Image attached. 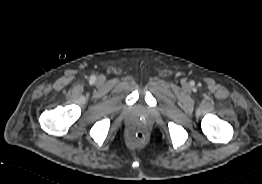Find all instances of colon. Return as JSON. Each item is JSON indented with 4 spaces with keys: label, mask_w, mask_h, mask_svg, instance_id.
Wrapping results in <instances>:
<instances>
[{
    "label": "colon",
    "mask_w": 262,
    "mask_h": 184,
    "mask_svg": "<svg viewBox=\"0 0 262 184\" xmlns=\"http://www.w3.org/2000/svg\"><path fill=\"white\" fill-rule=\"evenodd\" d=\"M130 140L134 144H142L145 142L146 134L141 126H136L131 130Z\"/></svg>",
    "instance_id": "5ec220e1"
}]
</instances>
